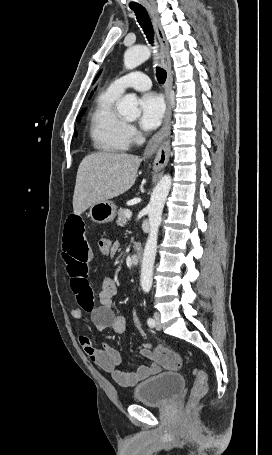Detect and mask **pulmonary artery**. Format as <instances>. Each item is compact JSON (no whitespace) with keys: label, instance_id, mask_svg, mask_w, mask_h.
I'll return each mask as SVG.
<instances>
[{"label":"pulmonary artery","instance_id":"obj_1","mask_svg":"<svg viewBox=\"0 0 272 455\" xmlns=\"http://www.w3.org/2000/svg\"><path fill=\"white\" fill-rule=\"evenodd\" d=\"M151 87V81L142 72H131L113 80L109 89L117 94H122L126 89L133 88L139 91L147 90Z\"/></svg>","mask_w":272,"mask_h":455}]
</instances>
